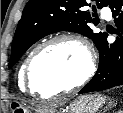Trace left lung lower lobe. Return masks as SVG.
Returning <instances> with one entry per match:
<instances>
[{
  "label": "left lung lower lobe",
  "instance_id": "left-lung-lower-lobe-1",
  "mask_svg": "<svg viewBox=\"0 0 123 113\" xmlns=\"http://www.w3.org/2000/svg\"><path fill=\"white\" fill-rule=\"evenodd\" d=\"M115 17L118 37L109 45L107 35L97 47L99 49V66L97 73L79 93H89L123 85V0H111L108 4Z\"/></svg>",
  "mask_w": 123,
  "mask_h": 113
}]
</instances>
